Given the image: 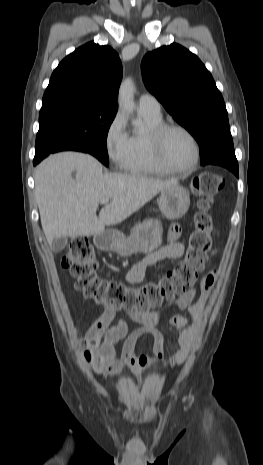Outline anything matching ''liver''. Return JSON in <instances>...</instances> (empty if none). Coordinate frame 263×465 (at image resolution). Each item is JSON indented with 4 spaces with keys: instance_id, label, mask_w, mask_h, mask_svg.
I'll use <instances>...</instances> for the list:
<instances>
[{
    "instance_id": "obj_1",
    "label": "liver",
    "mask_w": 263,
    "mask_h": 465,
    "mask_svg": "<svg viewBox=\"0 0 263 465\" xmlns=\"http://www.w3.org/2000/svg\"><path fill=\"white\" fill-rule=\"evenodd\" d=\"M102 169L97 159L77 152L57 153L38 165L35 194L49 245L58 237L99 234L106 226L121 223L159 192L178 185L176 179L103 174ZM102 199L111 202L97 216Z\"/></svg>"
}]
</instances>
